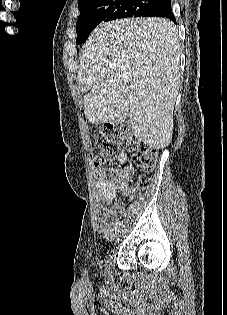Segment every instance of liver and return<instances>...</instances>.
<instances>
[{"mask_svg": "<svg viewBox=\"0 0 227 315\" xmlns=\"http://www.w3.org/2000/svg\"><path fill=\"white\" fill-rule=\"evenodd\" d=\"M180 56L177 28L168 19L130 18L97 27L83 45L78 67L89 122L98 125L126 115L139 141L157 149L168 146Z\"/></svg>", "mask_w": 227, "mask_h": 315, "instance_id": "6515ba94", "label": "liver"}]
</instances>
